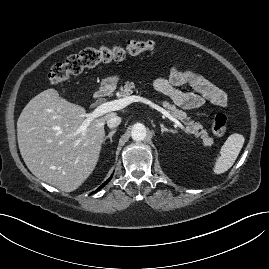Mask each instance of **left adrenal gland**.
Returning <instances> with one entry per match:
<instances>
[{"label": "left adrenal gland", "mask_w": 269, "mask_h": 269, "mask_svg": "<svg viewBox=\"0 0 269 269\" xmlns=\"http://www.w3.org/2000/svg\"><path fill=\"white\" fill-rule=\"evenodd\" d=\"M160 127H161L162 134H164L166 132L175 133V131L173 129H168L163 124H160Z\"/></svg>", "instance_id": "left-adrenal-gland-1"}]
</instances>
